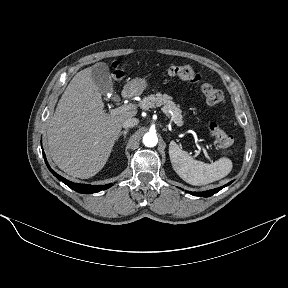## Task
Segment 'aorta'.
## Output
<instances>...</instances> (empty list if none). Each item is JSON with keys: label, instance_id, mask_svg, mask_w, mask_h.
Returning a JSON list of instances; mask_svg holds the SVG:
<instances>
[{"label": "aorta", "instance_id": "762f6f07", "mask_svg": "<svg viewBox=\"0 0 288 288\" xmlns=\"http://www.w3.org/2000/svg\"><path fill=\"white\" fill-rule=\"evenodd\" d=\"M158 142V137L155 133L148 132L143 136V143L146 147H154Z\"/></svg>", "mask_w": 288, "mask_h": 288}]
</instances>
